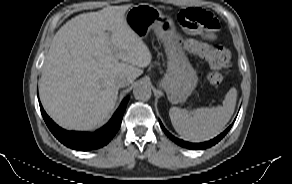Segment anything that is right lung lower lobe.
I'll use <instances>...</instances> for the list:
<instances>
[{"label": "right lung lower lobe", "instance_id": "right-lung-lower-lobe-1", "mask_svg": "<svg viewBox=\"0 0 292 184\" xmlns=\"http://www.w3.org/2000/svg\"><path fill=\"white\" fill-rule=\"evenodd\" d=\"M128 100L129 98L124 99L111 120L94 133L66 131L50 119L41 103L40 110L48 128L61 143L75 150L89 151L105 146L114 137L120 128Z\"/></svg>", "mask_w": 292, "mask_h": 184}]
</instances>
